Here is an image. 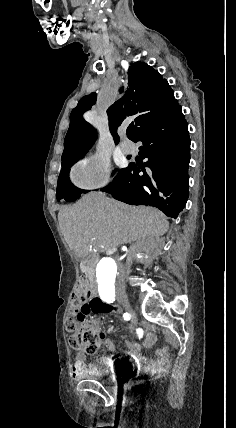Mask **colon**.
Here are the masks:
<instances>
[{
  "mask_svg": "<svg viewBox=\"0 0 236 428\" xmlns=\"http://www.w3.org/2000/svg\"><path fill=\"white\" fill-rule=\"evenodd\" d=\"M108 310L109 307L91 292L88 280L82 278L72 292L70 313L65 320L73 349L89 354L98 350L101 338L90 317Z\"/></svg>",
  "mask_w": 236,
  "mask_h": 428,
  "instance_id": "colon-1",
  "label": "colon"
}]
</instances>
